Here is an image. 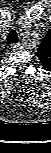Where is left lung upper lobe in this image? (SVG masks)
I'll use <instances>...</instances> for the list:
<instances>
[{
	"label": "left lung upper lobe",
	"mask_w": 51,
	"mask_h": 153,
	"mask_svg": "<svg viewBox=\"0 0 51 153\" xmlns=\"http://www.w3.org/2000/svg\"><path fill=\"white\" fill-rule=\"evenodd\" d=\"M37 56L43 69L51 71V29L40 44Z\"/></svg>",
	"instance_id": "1"
}]
</instances>
